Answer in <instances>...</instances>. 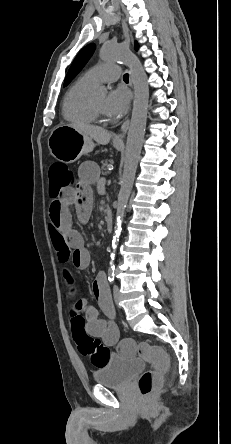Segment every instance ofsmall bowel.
<instances>
[{
  "label": "small bowel",
  "mask_w": 231,
  "mask_h": 444,
  "mask_svg": "<svg viewBox=\"0 0 231 444\" xmlns=\"http://www.w3.org/2000/svg\"><path fill=\"white\" fill-rule=\"evenodd\" d=\"M78 179L76 187L66 189L58 201H51L49 234L59 261L83 270L90 263V253L84 245L82 235L71 226L70 207H75L81 222L88 221L92 209L91 184L99 181L97 165L90 161L83 162L78 169ZM99 189L103 191L101 182ZM62 275L68 296L73 300L72 309L77 310L85 318L86 332L92 337L101 339L108 346L115 345L119 340L117 324L113 320L101 318L98 309L87 304L85 300L77 299V287L68 268L63 269ZM93 292L100 306L112 311L110 292L102 274L94 281Z\"/></svg>",
  "instance_id": "1"
}]
</instances>
